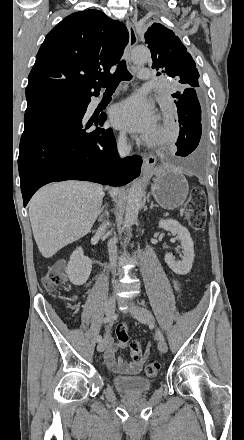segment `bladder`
<instances>
[{"mask_svg": "<svg viewBox=\"0 0 244 440\" xmlns=\"http://www.w3.org/2000/svg\"><path fill=\"white\" fill-rule=\"evenodd\" d=\"M112 383L115 390H119L126 395L146 394L152 387V382L145 377H114Z\"/></svg>", "mask_w": 244, "mask_h": 440, "instance_id": "1", "label": "bladder"}]
</instances>
